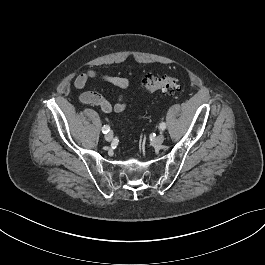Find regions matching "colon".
Instances as JSON below:
<instances>
[{"label": "colon", "mask_w": 265, "mask_h": 265, "mask_svg": "<svg viewBox=\"0 0 265 265\" xmlns=\"http://www.w3.org/2000/svg\"><path fill=\"white\" fill-rule=\"evenodd\" d=\"M143 86L149 92H167L174 93L180 90L181 85L179 80L172 75H165L162 77L147 73L142 80Z\"/></svg>", "instance_id": "1"}]
</instances>
